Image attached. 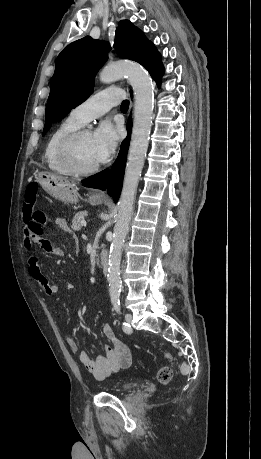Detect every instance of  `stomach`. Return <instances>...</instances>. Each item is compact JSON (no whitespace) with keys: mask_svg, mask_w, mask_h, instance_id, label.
<instances>
[{"mask_svg":"<svg viewBox=\"0 0 261 459\" xmlns=\"http://www.w3.org/2000/svg\"><path fill=\"white\" fill-rule=\"evenodd\" d=\"M37 181L53 198L65 203L78 202V191L76 186L62 176L50 172H40L37 176ZM103 200L102 197L95 195L89 197V201L92 204H100Z\"/></svg>","mask_w":261,"mask_h":459,"instance_id":"obj_1","label":"stomach"}]
</instances>
